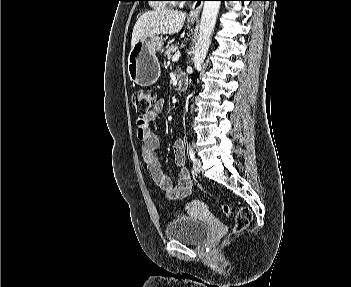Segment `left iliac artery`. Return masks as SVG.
Instances as JSON below:
<instances>
[{
	"mask_svg": "<svg viewBox=\"0 0 351 287\" xmlns=\"http://www.w3.org/2000/svg\"><path fill=\"white\" fill-rule=\"evenodd\" d=\"M188 149H189V156H190V159H191L192 161H194V160H195V152H194V150H193V148H192V146H191L190 144H189Z\"/></svg>",
	"mask_w": 351,
	"mask_h": 287,
	"instance_id": "left-iliac-artery-1",
	"label": "left iliac artery"
}]
</instances>
